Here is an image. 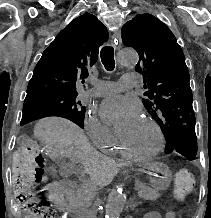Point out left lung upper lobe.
<instances>
[{
    "instance_id": "left-lung-upper-lobe-1",
    "label": "left lung upper lobe",
    "mask_w": 211,
    "mask_h": 218,
    "mask_svg": "<svg viewBox=\"0 0 211 218\" xmlns=\"http://www.w3.org/2000/svg\"><path fill=\"white\" fill-rule=\"evenodd\" d=\"M122 41L139 54L136 71L143 75L142 102L159 124L165 153L193 160L197 154L195 113L185 56L171 30L151 14H138L122 27Z\"/></svg>"
}]
</instances>
